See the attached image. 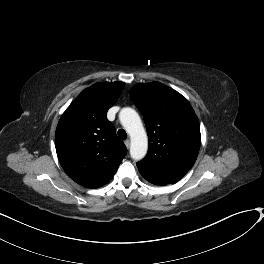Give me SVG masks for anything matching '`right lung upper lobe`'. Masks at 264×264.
Instances as JSON below:
<instances>
[{
  "label": "right lung upper lobe",
  "instance_id": "cb5924a9",
  "mask_svg": "<svg viewBox=\"0 0 264 264\" xmlns=\"http://www.w3.org/2000/svg\"><path fill=\"white\" fill-rule=\"evenodd\" d=\"M124 82L96 83L83 90L61 116L55 147L67 175L81 186L99 188L109 182L127 148L108 121Z\"/></svg>",
  "mask_w": 264,
  "mask_h": 264
}]
</instances>
